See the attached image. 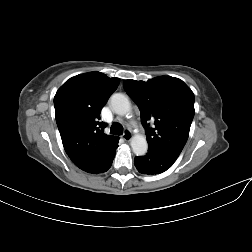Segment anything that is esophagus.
I'll return each instance as SVG.
<instances>
[{"instance_id": "obj_1", "label": "esophagus", "mask_w": 252, "mask_h": 252, "mask_svg": "<svg viewBox=\"0 0 252 252\" xmlns=\"http://www.w3.org/2000/svg\"><path fill=\"white\" fill-rule=\"evenodd\" d=\"M131 138H132V133H131L129 130L126 129V130L124 131V134H123V139H124L125 141H130Z\"/></svg>"}]
</instances>
